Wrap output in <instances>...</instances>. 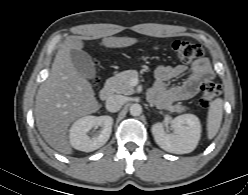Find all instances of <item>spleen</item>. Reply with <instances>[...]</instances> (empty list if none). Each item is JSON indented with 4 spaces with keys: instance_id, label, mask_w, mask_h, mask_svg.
I'll return each instance as SVG.
<instances>
[{
    "instance_id": "3e777b00",
    "label": "spleen",
    "mask_w": 248,
    "mask_h": 195,
    "mask_svg": "<svg viewBox=\"0 0 248 195\" xmlns=\"http://www.w3.org/2000/svg\"><path fill=\"white\" fill-rule=\"evenodd\" d=\"M224 102L221 98H217L210 103L207 117L208 138L213 139L219 131Z\"/></svg>"
}]
</instances>
